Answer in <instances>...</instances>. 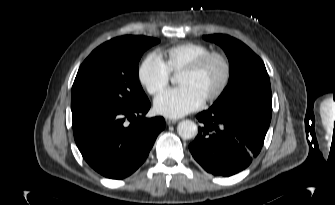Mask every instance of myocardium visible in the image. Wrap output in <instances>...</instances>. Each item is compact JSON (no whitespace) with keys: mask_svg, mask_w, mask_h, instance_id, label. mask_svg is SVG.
Returning <instances> with one entry per match:
<instances>
[{"mask_svg":"<svg viewBox=\"0 0 335 205\" xmlns=\"http://www.w3.org/2000/svg\"><path fill=\"white\" fill-rule=\"evenodd\" d=\"M213 59H217L222 63L223 68H224V73H223V77H222V80H221L218 88L216 89V91L214 93H212L211 95L207 96L204 99L205 102L216 101L217 99H219L223 95L226 88L228 87V84H229L230 79H231V74H232L231 63H230L228 57L221 52L211 51V52H208L205 55L201 56L200 58H198L196 61H194L188 67L184 68L179 73V75L180 74H189V75L198 74Z\"/></svg>","mask_w":335,"mask_h":205,"instance_id":"myocardium-1","label":"myocardium"}]
</instances>
